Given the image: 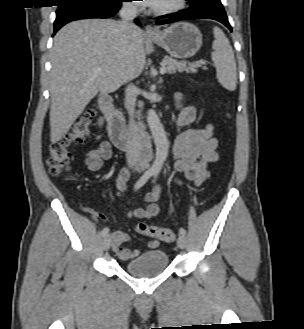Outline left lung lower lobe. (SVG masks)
Here are the masks:
<instances>
[{
	"label": "left lung lower lobe",
	"instance_id": "0a47b994",
	"mask_svg": "<svg viewBox=\"0 0 304 329\" xmlns=\"http://www.w3.org/2000/svg\"><path fill=\"white\" fill-rule=\"evenodd\" d=\"M190 8L183 12L173 15L176 17L168 20L157 21L158 25L173 23L181 20L189 19H213L221 22L232 31L228 22L227 15L220 0H189Z\"/></svg>",
	"mask_w": 304,
	"mask_h": 329
}]
</instances>
